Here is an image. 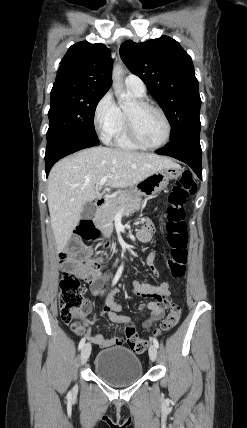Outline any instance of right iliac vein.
Returning <instances> with one entry per match:
<instances>
[{"instance_id":"63e3f726","label":"right iliac vein","mask_w":247,"mask_h":428,"mask_svg":"<svg viewBox=\"0 0 247 428\" xmlns=\"http://www.w3.org/2000/svg\"><path fill=\"white\" fill-rule=\"evenodd\" d=\"M91 353V344L90 343H86L82 350H81V355H80V359H81V364L84 365L90 356Z\"/></svg>"}]
</instances>
